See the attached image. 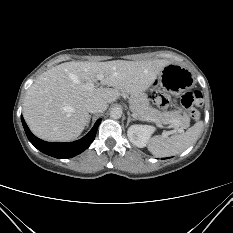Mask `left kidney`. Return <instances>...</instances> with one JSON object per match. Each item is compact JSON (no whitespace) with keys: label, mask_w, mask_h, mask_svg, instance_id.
I'll return each instance as SVG.
<instances>
[{"label":"left kidney","mask_w":233,"mask_h":233,"mask_svg":"<svg viewBox=\"0 0 233 233\" xmlns=\"http://www.w3.org/2000/svg\"><path fill=\"white\" fill-rule=\"evenodd\" d=\"M154 127L148 125H132L128 128L127 136L132 144L143 148L148 143Z\"/></svg>","instance_id":"obj_1"}]
</instances>
